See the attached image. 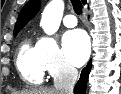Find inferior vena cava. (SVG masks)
Instances as JSON below:
<instances>
[{"mask_svg": "<svg viewBox=\"0 0 121 94\" xmlns=\"http://www.w3.org/2000/svg\"><path fill=\"white\" fill-rule=\"evenodd\" d=\"M78 78V71L71 65H66L59 70L54 80L55 89L59 94H73V88Z\"/></svg>", "mask_w": 121, "mask_h": 94, "instance_id": "602c4592", "label": "inferior vena cava"}]
</instances>
